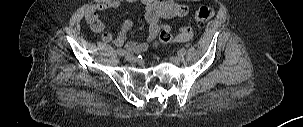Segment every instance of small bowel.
Returning <instances> with one entry per match:
<instances>
[{"label":"small bowel","instance_id":"1","mask_svg":"<svg viewBox=\"0 0 303 127\" xmlns=\"http://www.w3.org/2000/svg\"><path fill=\"white\" fill-rule=\"evenodd\" d=\"M141 2L145 6V18L148 23V38L146 42L127 41L129 31L133 27L130 19L123 21L120 31L116 37L105 29V25L100 18L101 11L117 8L123 3ZM188 14V7L185 4L174 0H98L89 6L85 13V19L91 28L98 33H102V40L106 43H113L115 47L125 46L131 53H142L149 48L162 30H169L170 26L161 23V19L184 17Z\"/></svg>","mask_w":303,"mask_h":127}]
</instances>
